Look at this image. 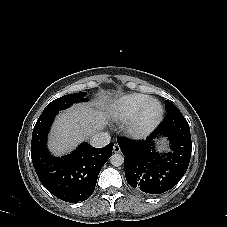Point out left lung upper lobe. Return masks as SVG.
Here are the masks:
<instances>
[{
  "mask_svg": "<svg viewBox=\"0 0 227 227\" xmlns=\"http://www.w3.org/2000/svg\"><path fill=\"white\" fill-rule=\"evenodd\" d=\"M165 107H166V112H167V111L171 110L172 108H174L175 105L166 100L165 101Z\"/></svg>",
  "mask_w": 227,
  "mask_h": 227,
  "instance_id": "1",
  "label": "left lung upper lobe"
}]
</instances>
